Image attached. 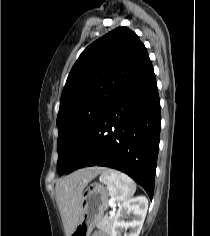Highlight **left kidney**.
Masks as SVG:
<instances>
[{"label": "left kidney", "instance_id": "5707ae66", "mask_svg": "<svg viewBox=\"0 0 210 236\" xmlns=\"http://www.w3.org/2000/svg\"><path fill=\"white\" fill-rule=\"evenodd\" d=\"M148 209V200L145 196L135 197L122 203L113 222L111 236H121L123 229L130 228V233L124 236H139ZM131 217V221H125Z\"/></svg>", "mask_w": 210, "mask_h": 236}]
</instances>
